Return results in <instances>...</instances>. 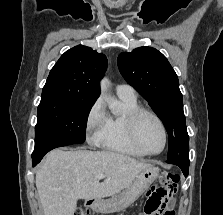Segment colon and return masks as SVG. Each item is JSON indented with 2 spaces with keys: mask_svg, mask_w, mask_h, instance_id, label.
Returning a JSON list of instances; mask_svg holds the SVG:
<instances>
[{
  "mask_svg": "<svg viewBox=\"0 0 223 215\" xmlns=\"http://www.w3.org/2000/svg\"><path fill=\"white\" fill-rule=\"evenodd\" d=\"M160 181L166 186L169 190H176L177 184L179 182V176L177 174L171 172H164L160 176ZM149 210L152 211L156 215H163L164 214V206L162 205H151ZM89 212L84 209H78L75 212V215H88Z\"/></svg>",
  "mask_w": 223,
  "mask_h": 215,
  "instance_id": "5ec220e1",
  "label": "colon"
}]
</instances>
